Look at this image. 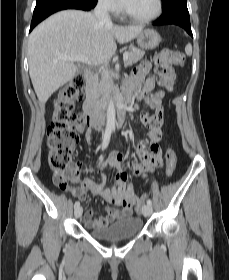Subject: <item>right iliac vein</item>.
<instances>
[{
    "mask_svg": "<svg viewBox=\"0 0 229 280\" xmlns=\"http://www.w3.org/2000/svg\"><path fill=\"white\" fill-rule=\"evenodd\" d=\"M82 213H83L82 207L79 206V207L75 208L74 215H75L76 218L81 217Z\"/></svg>",
    "mask_w": 229,
    "mask_h": 280,
    "instance_id": "obj_1",
    "label": "right iliac vein"
}]
</instances>
